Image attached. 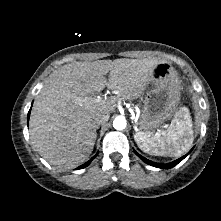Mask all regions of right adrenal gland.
Wrapping results in <instances>:
<instances>
[{
    "label": "right adrenal gland",
    "mask_w": 221,
    "mask_h": 221,
    "mask_svg": "<svg viewBox=\"0 0 221 221\" xmlns=\"http://www.w3.org/2000/svg\"><path fill=\"white\" fill-rule=\"evenodd\" d=\"M98 129H99V126H96L95 129H94V131H95V139H96V137H97V132H96V131H97Z\"/></svg>",
    "instance_id": "1"
}]
</instances>
